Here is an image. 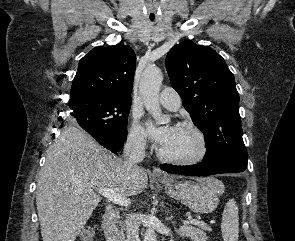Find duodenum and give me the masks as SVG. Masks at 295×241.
Here are the masks:
<instances>
[{
  "label": "duodenum",
  "mask_w": 295,
  "mask_h": 241,
  "mask_svg": "<svg viewBox=\"0 0 295 241\" xmlns=\"http://www.w3.org/2000/svg\"><path fill=\"white\" fill-rule=\"evenodd\" d=\"M119 211L114 206H107L104 211L102 229L107 241H125L117 226Z\"/></svg>",
  "instance_id": "duodenum-1"
}]
</instances>
